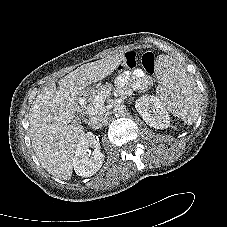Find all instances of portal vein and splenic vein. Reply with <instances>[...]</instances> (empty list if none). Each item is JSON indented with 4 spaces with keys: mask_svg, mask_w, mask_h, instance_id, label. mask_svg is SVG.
<instances>
[{
    "mask_svg": "<svg viewBox=\"0 0 227 227\" xmlns=\"http://www.w3.org/2000/svg\"><path fill=\"white\" fill-rule=\"evenodd\" d=\"M109 94V92H103L95 98V102L93 103L95 108L100 107L101 104L104 103V98ZM93 110V107L91 108Z\"/></svg>",
    "mask_w": 227,
    "mask_h": 227,
    "instance_id": "obj_1",
    "label": "portal vein and splenic vein"
}]
</instances>
